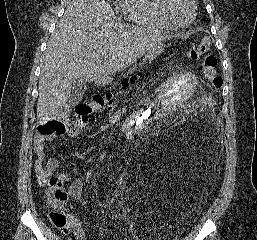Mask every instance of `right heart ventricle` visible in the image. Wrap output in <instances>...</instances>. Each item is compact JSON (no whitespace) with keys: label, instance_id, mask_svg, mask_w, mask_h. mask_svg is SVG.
<instances>
[{"label":"right heart ventricle","instance_id":"1","mask_svg":"<svg viewBox=\"0 0 257 240\" xmlns=\"http://www.w3.org/2000/svg\"><path fill=\"white\" fill-rule=\"evenodd\" d=\"M120 11L141 27L160 32H169L172 29L159 16L155 0H120Z\"/></svg>","mask_w":257,"mask_h":240}]
</instances>
